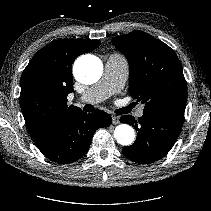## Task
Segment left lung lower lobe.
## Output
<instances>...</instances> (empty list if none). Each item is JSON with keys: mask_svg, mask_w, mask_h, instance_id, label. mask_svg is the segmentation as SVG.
Here are the masks:
<instances>
[{"mask_svg": "<svg viewBox=\"0 0 211 211\" xmlns=\"http://www.w3.org/2000/svg\"><path fill=\"white\" fill-rule=\"evenodd\" d=\"M184 109L178 107L155 108L143 111L136 120L131 115L120 122L135 127L136 141L123 148V154L139 164H149L163 158L175 144L182 127Z\"/></svg>", "mask_w": 211, "mask_h": 211, "instance_id": "left-lung-lower-lobe-1", "label": "left lung lower lobe"}]
</instances>
